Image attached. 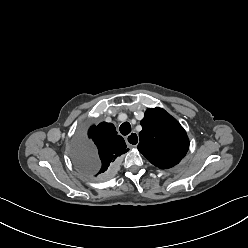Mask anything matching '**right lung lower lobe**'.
Segmentation results:
<instances>
[{"label": "right lung lower lobe", "instance_id": "obj_1", "mask_svg": "<svg viewBox=\"0 0 248 248\" xmlns=\"http://www.w3.org/2000/svg\"><path fill=\"white\" fill-rule=\"evenodd\" d=\"M115 167V164L108 170L107 173L111 172L113 170V168Z\"/></svg>", "mask_w": 248, "mask_h": 248}]
</instances>
